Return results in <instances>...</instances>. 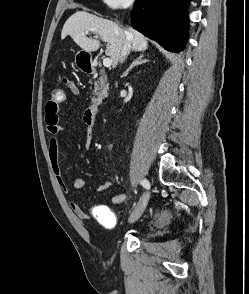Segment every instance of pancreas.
<instances>
[{
    "instance_id": "cf45deb5",
    "label": "pancreas",
    "mask_w": 249,
    "mask_h": 294,
    "mask_svg": "<svg viewBox=\"0 0 249 294\" xmlns=\"http://www.w3.org/2000/svg\"><path fill=\"white\" fill-rule=\"evenodd\" d=\"M108 88L107 78L103 75L94 83V94L100 95L104 98L107 95Z\"/></svg>"
}]
</instances>
